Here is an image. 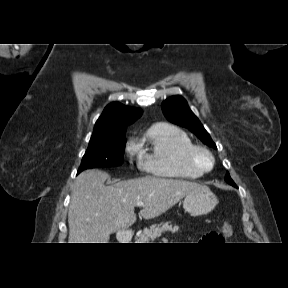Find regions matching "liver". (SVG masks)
I'll use <instances>...</instances> for the list:
<instances>
[{
	"label": "liver",
	"mask_w": 288,
	"mask_h": 288,
	"mask_svg": "<svg viewBox=\"0 0 288 288\" xmlns=\"http://www.w3.org/2000/svg\"><path fill=\"white\" fill-rule=\"evenodd\" d=\"M106 172L90 169L74 181L68 209L69 243H108L110 235L122 234L139 215L153 219L165 213L187 194L201 186L180 179L144 177L106 186Z\"/></svg>",
	"instance_id": "liver-1"
}]
</instances>
